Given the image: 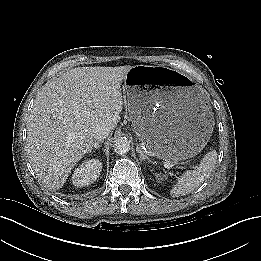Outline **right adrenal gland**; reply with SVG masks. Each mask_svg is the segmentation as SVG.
<instances>
[{
    "label": "right adrenal gland",
    "instance_id": "obj_1",
    "mask_svg": "<svg viewBox=\"0 0 261 261\" xmlns=\"http://www.w3.org/2000/svg\"><path fill=\"white\" fill-rule=\"evenodd\" d=\"M100 143H101V140H97V141H94L93 144L91 145L90 149H89V152L92 151V149H99L100 148Z\"/></svg>",
    "mask_w": 261,
    "mask_h": 261
}]
</instances>
